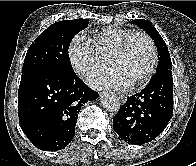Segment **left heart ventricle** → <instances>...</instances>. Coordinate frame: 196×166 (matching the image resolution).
Wrapping results in <instances>:
<instances>
[{"instance_id": "left-heart-ventricle-1", "label": "left heart ventricle", "mask_w": 196, "mask_h": 166, "mask_svg": "<svg viewBox=\"0 0 196 166\" xmlns=\"http://www.w3.org/2000/svg\"><path fill=\"white\" fill-rule=\"evenodd\" d=\"M151 61L152 52L149 43L143 37H136L130 42L127 52L115 59L111 65L134 83L148 71Z\"/></svg>"}]
</instances>
